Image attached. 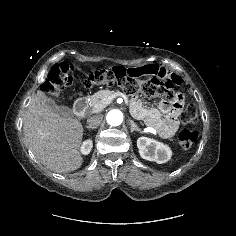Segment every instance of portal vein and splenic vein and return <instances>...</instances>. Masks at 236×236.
I'll return each instance as SVG.
<instances>
[{
    "mask_svg": "<svg viewBox=\"0 0 236 236\" xmlns=\"http://www.w3.org/2000/svg\"><path fill=\"white\" fill-rule=\"evenodd\" d=\"M123 97V96H122ZM115 97L114 96H110L108 98H105L103 100V103L100 105V106H97L95 108L92 109V113H96V112H99L101 111L103 108H105L108 104L111 103V101L114 99Z\"/></svg>",
    "mask_w": 236,
    "mask_h": 236,
    "instance_id": "1",
    "label": "portal vein and splenic vein"
}]
</instances>
